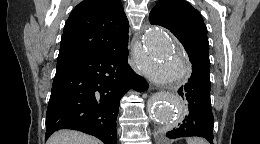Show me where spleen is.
I'll list each match as a JSON object with an SVG mask.
<instances>
[{"label":"spleen","instance_id":"obj_1","mask_svg":"<svg viewBox=\"0 0 260 144\" xmlns=\"http://www.w3.org/2000/svg\"><path fill=\"white\" fill-rule=\"evenodd\" d=\"M187 144H208V142L202 138H189L187 139Z\"/></svg>","mask_w":260,"mask_h":144}]
</instances>
